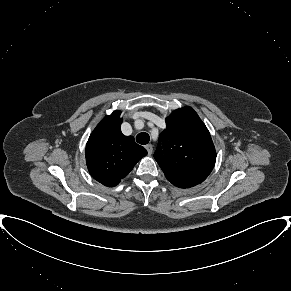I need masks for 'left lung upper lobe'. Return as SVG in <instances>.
Returning <instances> with one entry per match:
<instances>
[{"instance_id":"obj_1","label":"left lung upper lobe","mask_w":291,"mask_h":291,"mask_svg":"<svg viewBox=\"0 0 291 291\" xmlns=\"http://www.w3.org/2000/svg\"><path fill=\"white\" fill-rule=\"evenodd\" d=\"M154 158L172 184L189 187L203 182L212 171L216 152L210 133L191 107L177 109L166 118Z\"/></svg>"}]
</instances>
